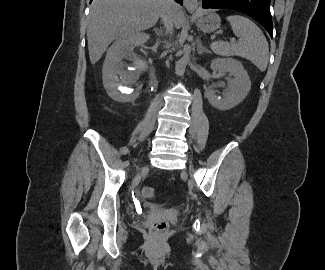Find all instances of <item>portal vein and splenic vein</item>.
I'll return each mask as SVG.
<instances>
[{"label": "portal vein and splenic vein", "mask_w": 325, "mask_h": 270, "mask_svg": "<svg viewBox=\"0 0 325 270\" xmlns=\"http://www.w3.org/2000/svg\"><path fill=\"white\" fill-rule=\"evenodd\" d=\"M231 42H232V43H235V42H236V40H235V39H232V40H231Z\"/></svg>", "instance_id": "1"}]
</instances>
